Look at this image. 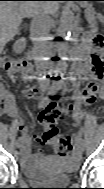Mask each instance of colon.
<instances>
[{
    "mask_svg": "<svg viewBox=\"0 0 104 189\" xmlns=\"http://www.w3.org/2000/svg\"><path fill=\"white\" fill-rule=\"evenodd\" d=\"M92 47V64L93 73L97 79L103 75V50L104 38L100 34H95L90 37ZM11 61L4 62V66L11 65ZM1 109L5 108V99L0 94ZM69 104L67 108H70ZM64 107L56 102H51L39 114V122L42 125V131L37 137L39 143L52 145L60 156L70 154L74 148L70 138L58 135V129L55 125L56 120L61 116Z\"/></svg>",
    "mask_w": 104,
    "mask_h": 189,
    "instance_id": "obj_1",
    "label": "colon"
}]
</instances>
